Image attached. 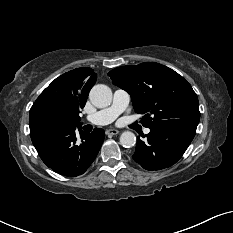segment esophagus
<instances>
[{
  "mask_svg": "<svg viewBox=\"0 0 233 233\" xmlns=\"http://www.w3.org/2000/svg\"><path fill=\"white\" fill-rule=\"evenodd\" d=\"M119 133V131L117 129H109L106 131V134L109 136H115Z\"/></svg>",
  "mask_w": 233,
  "mask_h": 233,
  "instance_id": "1",
  "label": "esophagus"
}]
</instances>
